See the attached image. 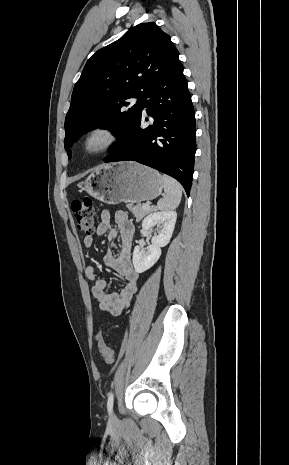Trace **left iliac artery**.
<instances>
[{
	"mask_svg": "<svg viewBox=\"0 0 289 465\" xmlns=\"http://www.w3.org/2000/svg\"><path fill=\"white\" fill-rule=\"evenodd\" d=\"M113 400H114V394H113V392H111L109 394L108 400H107V409H108L109 414H111V412H112Z\"/></svg>",
	"mask_w": 289,
	"mask_h": 465,
	"instance_id": "1",
	"label": "left iliac artery"
}]
</instances>
